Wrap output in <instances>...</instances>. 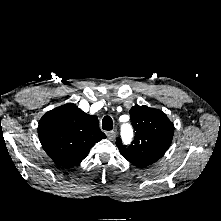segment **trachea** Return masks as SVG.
<instances>
[{
	"instance_id": "obj_1",
	"label": "trachea",
	"mask_w": 221,
	"mask_h": 221,
	"mask_svg": "<svg viewBox=\"0 0 221 221\" xmlns=\"http://www.w3.org/2000/svg\"><path fill=\"white\" fill-rule=\"evenodd\" d=\"M102 127L104 130H112L113 129V121L110 116H105L102 120Z\"/></svg>"
}]
</instances>
